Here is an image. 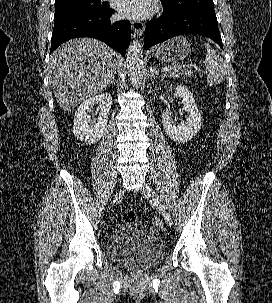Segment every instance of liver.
I'll return each mask as SVG.
<instances>
[{"label":"liver","mask_w":272,"mask_h":303,"mask_svg":"<svg viewBox=\"0 0 272 303\" xmlns=\"http://www.w3.org/2000/svg\"><path fill=\"white\" fill-rule=\"evenodd\" d=\"M119 55L92 38L72 39L51 55L49 68L57 103L64 111L102 92L116 73Z\"/></svg>","instance_id":"obj_1"}]
</instances>
